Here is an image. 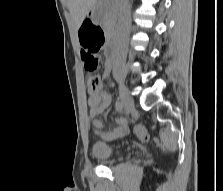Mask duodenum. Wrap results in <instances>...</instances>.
<instances>
[{
	"mask_svg": "<svg viewBox=\"0 0 223 191\" xmlns=\"http://www.w3.org/2000/svg\"><path fill=\"white\" fill-rule=\"evenodd\" d=\"M107 53H108V60L110 61L111 64H113L114 61V54H115V46L114 43L109 40V44L107 47Z\"/></svg>",
	"mask_w": 223,
	"mask_h": 191,
	"instance_id": "1",
	"label": "duodenum"
}]
</instances>
